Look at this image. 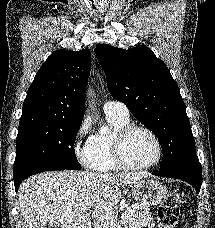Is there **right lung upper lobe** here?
Returning a JSON list of instances; mask_svg holds the SVG:
<instances>
[{
  "mask_svg": "<svg viewBox=\"0 0 215 228\" xmlns=\"http://www.w3.org/2000/svg\"><path fill=\"white\" fill-rule=\"evenodd\" d=\"M91 53L54 51L37 72L22 107L19 128L63 121H82Z\"/></svg>",
  "mask_w": 215,
  "mask_h": 228,
  "instance_id": "1",
  "label": "right lung upper lobe"
}]
</instances>
